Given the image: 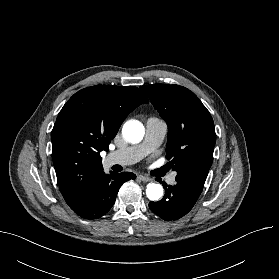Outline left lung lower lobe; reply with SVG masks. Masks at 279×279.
<instances>
[{
	"mask_svg": "<svg viewBox=\"0 0 279 279\" xmlns=\"http://www.w3.org/2000/svg\"><path fill=\"white\" fill-rule=\"evenodd\" d=\"M165 195L159 202H150L149 208L164 220H177L186 215L194 206L202 190L177 181L174 186H167Z\"/></svg>",
	"mask_w": 279,
	"mask_h": 279,
	"instance_id": "left-lung-lower-lobe-1",
	"label": "left lung lower lobe"
}]
</instances>
